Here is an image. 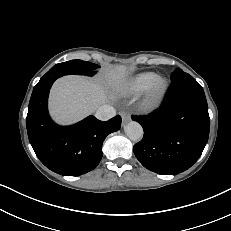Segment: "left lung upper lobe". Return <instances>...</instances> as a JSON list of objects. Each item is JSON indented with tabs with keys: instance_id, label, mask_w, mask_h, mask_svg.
<instances>
[{
	"instance_id": "1",
	"label": "left lung upper lobe",
	"mask_w": 231,
	"mask_h": 231,
	"mask_svg": "<svg viewBox=\"0 0 231 231\" xmlns=\"http://www.w3.org/2000/svg\"><path fill=\"white\" fill-rule=\"evenodd\" d=\"M175 72H183V71L180 69H176Z\"/></svg>"
}]
</instances>
